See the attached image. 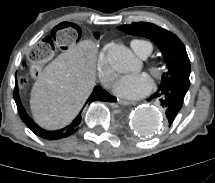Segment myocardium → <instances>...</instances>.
I'll use <instances>...</instances> for the list:
<instances>
[{"instance_id":"myocardium-1","label":"myocardium","mask_w":215,"mask_h":183,"mask_svg":"<svg viewBox=\"0 0 215 183\" xmlns=\"http://www.w3.org/2000/svg\"><path fill=\"white\" fill-rule=\"evenodd\" d=\"M147 69L151 76L156 80L162 79L167 70L165 65L156 61L149 63Z\"/></svg>"}]
</instances>
